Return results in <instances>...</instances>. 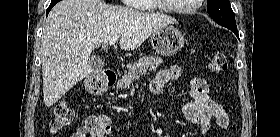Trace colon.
Instances as JSON below:
<instances>
[{
    "instance_id": "colon-1",
    "label": "colon",
    "mask_w": 280,
    "mask_h": 137,
    "mask_svg": "<svg viewBox=\"0 0 280 137\" xmlns=\"http://www.w3.org/2000/svg\"><path fill=\"white\" fill-rule=\"evenodd\" d=\"M227 65V58L223 53L213 54L209 61V68L212 72L215 73L224 72L227 69ZM72 119V109L64 100H60L54 106L53 113L49 122V129L53 133H57L69 126L72 122ZM88 123L94 131L98 132L100 130L98 121L95 118L90 119ZM102 137H105V135H102Z\"/></svg>"
}]
</instances>
